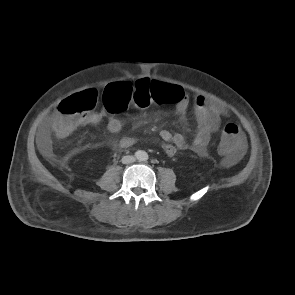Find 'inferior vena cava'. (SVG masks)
<instances>
[{
    "mask_svg": "<svg viewBox=\"0 0 295 295\" xmlns=\"http://www.w3.org/2000/svg\"><path fill=\"white\" fill-rule=\"evenodd\" d=\"M135 160H136L135 157L130 156V155L122 157V163L123 164H130V163H133Z\"/></svg>",
    "mask_w": 295,
    "mask_h": 295,
    "instance_id": "obj_1",
    "label": "inferior vena cava"
}]
</instances>
